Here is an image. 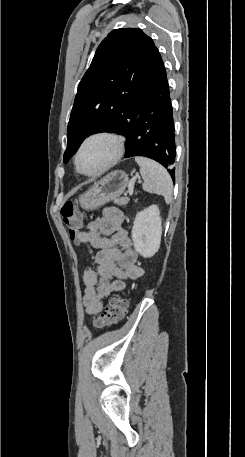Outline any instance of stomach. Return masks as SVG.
<instances>
[{"instance_id":"stomach-1","label":"stomach","mask_w":245,"mask_h":457,"mask_svg":"<svg viewBox=\"0 0 245 457\" xmlns=\"http://www.w3.org/2000/svg\"><path fill=\"white\" fill-rule=\"evenodd\" d=\"M128 182L129 176L127 172L113 170V172H109L101 180L95 182L89 190H86L85 194L80 196V206L86 208V210H93V208H98V206L109 202V200H115L120 194H123Z\"/></svg>"}]
</instances>
